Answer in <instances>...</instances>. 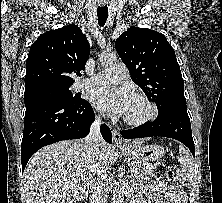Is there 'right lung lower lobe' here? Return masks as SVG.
<instances>
[{"mask_svg": "<svg viewBox=\"0 0 222 203\" xmlns=\"http://www.w3.org/2000/svg\"><path fill=\"white\" fill-rule=\"evenodd\" d=\"M94 118L92 106L86 100L76 104L40 101L27 105L21 145L22 170L40 148L62 140L86 137ZM101 134L106 142H112L107 125H101Z\"/></svg>", "mask_w": 222, "mask_h": 203, "instance_id": "obj_1", "label": "right lung lower lobe"}]
</instances>
